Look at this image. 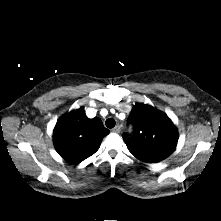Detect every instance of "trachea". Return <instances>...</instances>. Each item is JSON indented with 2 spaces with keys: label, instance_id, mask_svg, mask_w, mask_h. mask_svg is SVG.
<instances>
[{
  "label": "trachea",
  "instance_id": "3493384b",
  "mask_svg": "<svg viewBox=\"0 0 221 221\" xmlns=\"http://www.w3.org/2000/svg\"><path fill=\"white\" fill-rule=\"evenodd\" d=\"M116 122L113 118H109L106 120L105 125L108 128H113L115 126Z\"/></svg>",
  "mask_w": 221,
  "mask_h": 221
}]
</instances>
